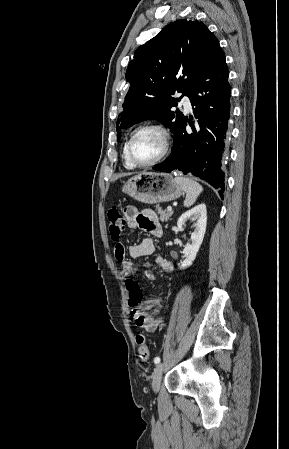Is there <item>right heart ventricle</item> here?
<instances>
[{"label":"right heart ventricle","mask_w":289,"mask_h":449,"mask_svg":"<svg viewBox=\"0 0 289 449\" xmlns=\"http://www.w3.org/2000/svg\"><path fill=\"white\" fill-rule=\"evenodd\" d=\"M123 159H124V164L128 169H133L135 167L129 160L128 153H127V143L125 144V146L123 148Z\"/></svg>","instance_id":"1"}]
</instances>
